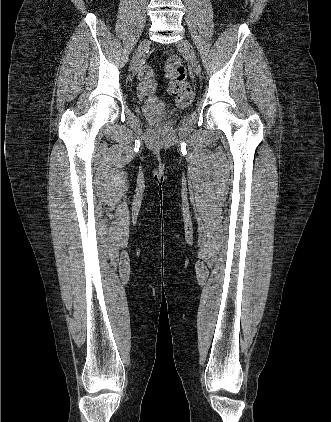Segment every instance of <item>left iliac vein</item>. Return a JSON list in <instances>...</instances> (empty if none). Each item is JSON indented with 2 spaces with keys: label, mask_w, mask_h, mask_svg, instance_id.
Masks as SVG:
<instances>
[{
  "label": "left iliac vein",
  "mask_w": 331,
  "mask_h": 422,
  "mask_svg": "<svg viewBox=\"0 0 331 422\" xmlns=\"http://www.w3.org/2000/svg\"><path fill=\"white\" fill-rule=\"evenodd\" d=\"M176 46L188 56L194 73L196 75H199L201 71V67H200L199 60L196 56V53L194 51L192 44L187 39H181L180 41L176 43Z\"/></svg>",
  "instance_id": "obj_1"
}]
</instances>
